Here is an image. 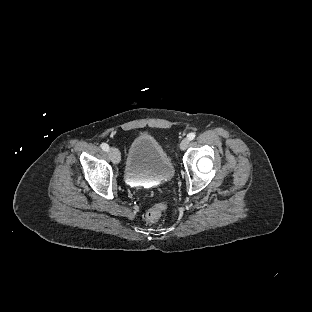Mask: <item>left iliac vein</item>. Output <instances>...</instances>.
Listing matches in <instances>:
<instances>
[{
    "label": "left iliac vein",
    "mask_w": 312,
    "mask_h": 312,
    "mask_svg": "<svg viewBox=\"0 0 312 312\" xmlns=\"http://www.w3.org/2000/svg\"><path fill=\"white\" fill-rule=\"evenodd\" d=\"M188 144H189V139L184 138L180 143V149L185 150L187 148Z\"/></svg>",
    "instance_id": "4c4485c4"
}]
</instances>
